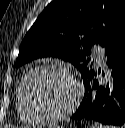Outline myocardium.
Wrapping results in <instances>:
<instances>
[{"instance_id": "1", "label": "myocardium", "mask_w": 125, "mask_h": 128, "mask_svg": "<svg viewBox=\"0 0 125 128\" xmlns=\"http://www.w3.org/2000/svg\"><path fill=\"white\" fill-rule=\"evenodd\" d=\"M41 72H57L60 74L65 75L69 78V80L72 82L75 94L72 102L69 106H67L63 111L58 113H43L37 111L30 102L29 96H28V87L30 84V81L34 76ZM82 97V86L79 83V81L76 79V77L73 75V73L66 67H63L61 65L56 64H43L40 66H37L30 70L24 77V81L22 84V100L23 104L27 110V112L38 122L42 123H54L58 122L69 115H71L77 106L79 105Z\"/></svg>"}]
</instances>
